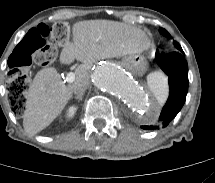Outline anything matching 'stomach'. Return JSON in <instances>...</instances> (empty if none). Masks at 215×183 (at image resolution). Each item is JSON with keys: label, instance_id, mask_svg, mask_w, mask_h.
<instances>
[{"label": "stomach", "instance_id": "stomach-1", "mask_svg": "<svg viewBox=\"0 0 215 183\" xmlns=\"http://www.w3.org/2000/svg\"><path fill=\"white\" fill-rule=\"evenodd\" d=\"M124 63L137 71H143L146 67V61L143 56L129 55L124 58Z\"/></svg>", "mask_w": 215, "mask_h": 183}]
</instances>
